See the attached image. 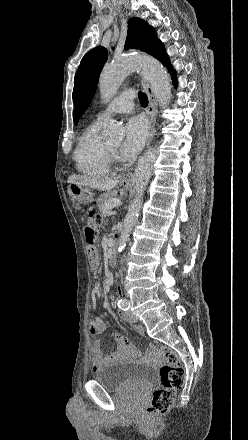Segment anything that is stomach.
<instances>
[{
  "label": "stomach",
  "mask_w": 248,
  "mask_h": 440,
  "mask_svg": "<svg viewBox=\"0 0 248 440\" xmlns=\"http://www.w3.org/2000/svg\"><path fill=\"white\" fill-rule=\"evenodd\" d=\"M121 184L125 188L130 186V183L126 180H122ZM68 194L77 207L89 205L94 201V192L91 188L76 183H70L68 185Z\"/></svg>",
  "instance_id": "0dacf381"
}]
</instances>
